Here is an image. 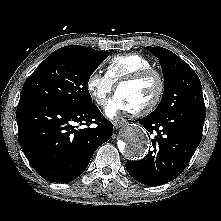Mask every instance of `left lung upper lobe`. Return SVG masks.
Listing matches in <instances>:
<instances>
[{
	"mask_svg": "<svg viewBox=\"0 0 221 221\" xmlns=\"http://www.w3.org/2000/svg\"><path fill=\"white\" fill-rule=\"evenodd\" d=\"M160 61L164 73V94L151 114L180 110L206 113L201 82L194 70L180 57L163 47H145Z\"/></svg>",
	"mask_w": 221,
	"mask_h": 221,
	"instance_id": "obj_1",
	"label": "left lung upper lobe"
}]
</instances>
